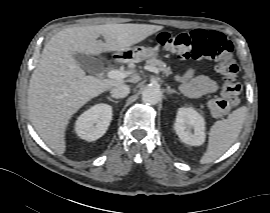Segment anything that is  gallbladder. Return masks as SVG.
<instances>
[{"instance_id": "bac80fb5", "label": "gallbladder", "mask_w": 270, "mask_h": 213, "mask_svg": "<svg viewBox=\"0 0 270 213\" xmlns=\"http://www.w3.org/2000/svg\"><path fill=\"white\" fill-rule=\"evenodd\" d=\"M73 58L80 65V67L93 75H97L103 69V63L91 55L75 53L73 54Z\"/></svg>"}]
</instances>
